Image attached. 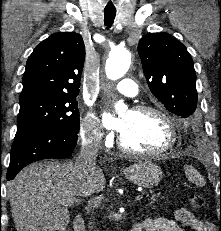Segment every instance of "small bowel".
<instances>
[{
	"mask_svg": "<svg viewBox=\"0 0 221 231\" xmlns=\"http://www.w3.org/2000/svg\"><path fill=\"white\" fill-rule=\"evenodd\" d=\"M178 223L191 231H215L214 224L198 219L187 208H179L175 213ZM177 222L160 217H152L139 221L135 226L140 231H185Z\"/></svg>",
	"mask_w": 221,
	"mask_h": 231,
	"instance_id": "obj_1",
	"label": "small bowel"
}]
</instances>
